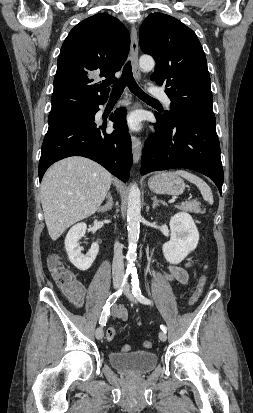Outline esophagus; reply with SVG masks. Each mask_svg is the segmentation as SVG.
I'll return each mask as SVG.
<instances>
[{"instance_id": "obj_1", "label": "esophagus", "mask_w": 253, "mask_h": 413, "mask_svg": "<svg viewBox=\"0 0 253 413\" xmlns=\"http://www.w3.org/2000/svg\"><path fill=\"white\" fill-rule=\"evenodd\" d=\"M130 36H131L130 54H131L133 72L136 78H139L140 72L138 68V34H137L136 27L134 25H132L131 27ZM131 143H132V154H133L134 163H138L140 160L141 152H142L141 140L137 136L133 135L131 137Z\"/></svg>"}]
</instances>
